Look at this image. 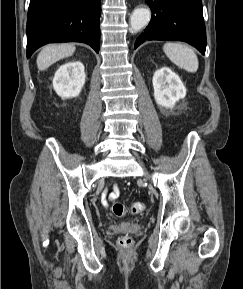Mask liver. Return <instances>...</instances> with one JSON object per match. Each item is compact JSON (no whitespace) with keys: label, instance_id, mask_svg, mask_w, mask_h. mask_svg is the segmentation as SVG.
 I'll use <instances>...</instances> for the list:
<instances>
[{"label":"liver","instance_id":"obj_1","mask_svg":"<svg viewBox=\"0 0 243 289\" xmlns=\"http://www.w3.org/2000/svg\"><path fill=\"white\" fill-rule=\"evenodd\" d=\"M76 48L73 44H51L45 46L37 56V67L45 70L60 59L73 55Z\"/></svg>","mask_w":243,"mask_h":289}]
</instances>
